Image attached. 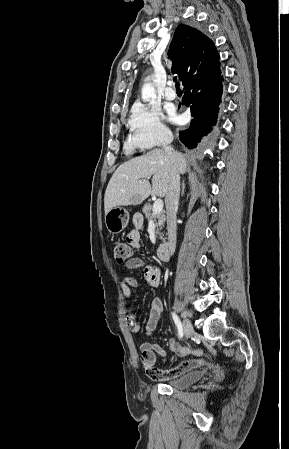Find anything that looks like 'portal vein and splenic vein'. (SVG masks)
Returning <instances> with one entry per match:
<instances>
[{"instance_id": "obj_1", "label": "portal vein and splenic vein", "mask_w": 289, "mask_h": 449, "mask_svg": "<svg viewBox=\"0 0 289 449\" xmlns=\"http://www.w3.org/2000/svg\"><path fill=\"white\" fill-rule=\"evenodd\" d=\"M139 183H142V180H139ZM163 210V201L161 199H157L153 204V215L160 213Z\"/></svg>"}]
</instances>
